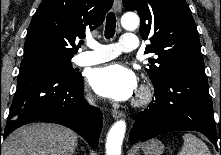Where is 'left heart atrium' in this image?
<instances>
[{"label":"left heart atrium","mask_w":221,"mask_h":155,"mask_svg":"<svg viewBox=\"0 0 221 155\" xmlns=\"http://www.w3.org/2000/svg\"><path fill=\"white\" fill-rule=\"evenodd\" d=\"M90 84L98 95L116 101L130 99L137 89L135 74L118 63L93 70L90 76Z\"/></svg>","instance_id":"obj_1"}]
</instances>
